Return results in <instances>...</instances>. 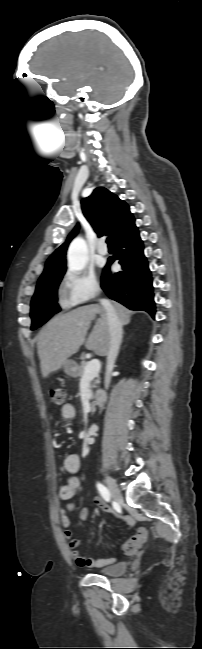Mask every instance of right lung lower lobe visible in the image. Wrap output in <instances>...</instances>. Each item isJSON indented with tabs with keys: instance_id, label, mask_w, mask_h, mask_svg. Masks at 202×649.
<instances>
[{
	"instance_id": "obj_1",
	"label": "right lung lower lobe",
	"mask_w": 202,
	"mask_h": 649,
	"mask_svg": "<svg viewBox=\"0 0 202 649\" xmlns=\"http://www.w3.org/2000/svg\"><path fill=\"white\" fill-rule=\"evenodd\" d=\"M115 254L108 259L102 275L101 287L107 296L131 310L147 311L155 315L151 272L143 253V242L138 229L115 240ZM118 260L122 271L111 273L110 265Z\"/></svg>"
}]
</instances>
